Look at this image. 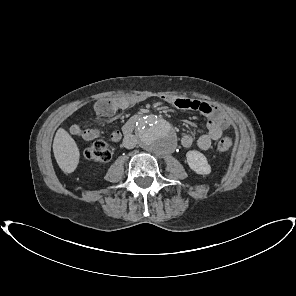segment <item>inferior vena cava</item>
<instances>
[{"mask_svg": "<svg viewBox=\"0 0 296 296\" xmlns=\"http://www.w3.org/2000/svg\"><path fill=\"white\" fill-rule=\"evenodd\" d=\"M137 139L134 135H126L123 139V146L127 149H132L136 146Z\"/></svg>", "mask_w": 296, "mask_h": 296, "instance_id": "inferior-vena-cava-1", "label": "inferior vena cava"}]
</instances>
